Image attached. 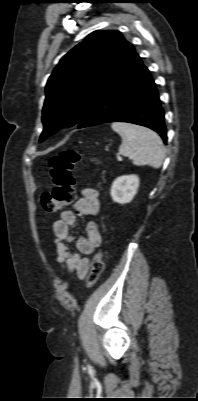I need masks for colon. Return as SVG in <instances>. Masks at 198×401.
Returning a JSON list of instances; mask_svg holds the SVG:
<instances>
[{
	"instance_id": "colon-1",
	"label": "colon",
	"mask_w": 198,
	"mask_h": 401,
	"mask_svg": "<svg viewBox=\"0 0 198 401\" xmlns=\"http://www.w3.org/2000/svg\"><path fill=\"white\" fill-rule=\"evenodd\" d=\"M79 158V153L74 149L65 150L50 158L49 169L54 187L51 193L43 194L40 200L46 213H56L74 201L75 178L72 170ZM103 255L100 251L92 259L89 285L95 284L103 272Z\"/></svg>"
}]
</instances>
